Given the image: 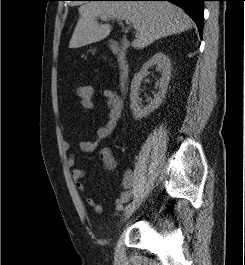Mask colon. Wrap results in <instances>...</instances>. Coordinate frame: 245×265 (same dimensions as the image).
<instances>
[{
	"instance_id": "5ec220e1",
	"label": "colon",
	"mask_w": 245,
	"mask_h": 265,
	"mask_svg": "<svg viewBox=\"0 0 245 265\" xmlns=\"http://www.w3.org/2000/svg\"><path fill=\"white\" fill-rule=\"evenodd\" d=\"M77 95L81 103H89L93 101L94 89L91 85H82L77 88Z\"/></svg>"
}]
</instances>
